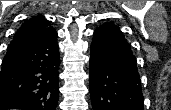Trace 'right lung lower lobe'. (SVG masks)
Listing matches in <instances>:
<instances>
[{"instance_id":"right-lung-lower-lobe-1","label":"right lung lower lobe","mask_w":171,"mask_h":110,"mask_svg":"<svg viewBox=\"0 0 171 110\" xmlns=\"http://www.w3.org/2000/svg\"><path fill=\"white\" fill-rule=\"evenodd\" d=\"M60 55L57 32L15 56L0 73V110H56Z\"/></svg>"}]
</instances>
